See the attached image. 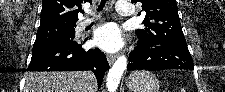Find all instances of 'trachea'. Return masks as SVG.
<instances>
[{
    "label": "trachea",
    "mask_w": 225,
    "mask_h": 92,
    "mask_svg": "<svg viewBox=\"0 0 225 92\" xmlns=\"http://www.w3.org/2000/svg\"><path fill=\"white\" fill-rule=\"evenodd\" d=\"M106 1H107V0H101L100 5L98 6V10H99V11L103 10V8H104V6H105V4H106Z\"/></svg>",
    "instance_id": "trachea-1"
}]
</instances>
